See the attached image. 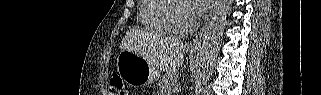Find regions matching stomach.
<instances>
[{"instance_id":"1","label":"stomach","mask_w":321,"mask_h":95,"mask_svg":"<svg viewBox=\"0 0 321 95\" xmlns=\"http://www.w3.org/2000/svg\"><path fill=\"white\" fill-rule=\"evenodd\" d=\"M197 49H192L195 52ZM117 71L120 77L131 85H146L160 77L157 67L135 52L121 50L117 58Z\"/></svg>"}]
</instances>
